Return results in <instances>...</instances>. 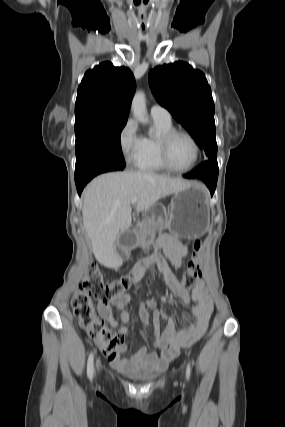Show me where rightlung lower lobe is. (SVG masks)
<instances>
[{
  "mask_svg": "<svg viewBox=\"0 0 285 427\" xmlns=\"http://www.w3.org/2000/svg\"><path fill=\"white\" fill-rule=\"evenodd\" d=\"M125 165L114 164L109 162H95L87 166L82 172L75 175V183L78 194L81 195L85 185L96 175L116 170H123Z\"/></svg>",
  "mask_w": 285,
  "mask_h": 427,
  "instance_id": "right-lung-lower-lobe-1",
  "label": "right lung lower lobe"
}]
</instances>
